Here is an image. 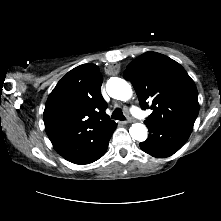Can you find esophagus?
I'll return each mask as SVG.
<instances>
[{
  "label": "esophagus",
  "mask_w": 221,
  "mask_h": 221,
  "mask_svg": "<svg viewBox=\"0 0 221 221\" xmlns=\"http://www.w3.org/2000/svg\"><path fill=\"white\" fill-rule=\"evenodd\" d=\"M132 122V120L131 119H127L126 121H124L123 123L124 124H127V123H131Z\"/></svg>",
  "instance_id": "esophagus-1"
}]
</instances>
